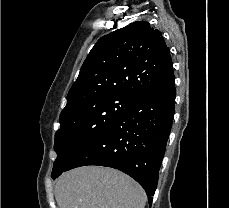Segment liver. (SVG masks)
I'll use <instances>...</instances> for the list:
<instances>
[{
  "mask_svg": "<svg viewBox=\"0 0 229 208\" xmlns=\"http://www.w3.org/2000/svg\"><path fill=\"white\" fill-rule=\"evenodd\" d=\"M59 208H144L147 196L132 178L101 166H85L56 180Z\"/></svg>",
  "mask_w": 229,
  "mask_h": 208,
  "instance_id": "1",
  "label": "liver"
}]
</instances>
